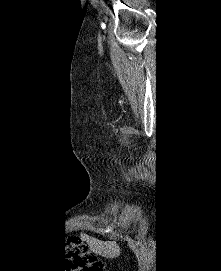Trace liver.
Listing matches in <instances>:
<instances>
[{"label": "liver", "instance_id": "1", "mask_svg": "<svg viewBox=\"0 0 221 271\" xmlns=\"http://www.w3.org/2000/svg\"><path fill=\"white\" fill-rule=\"evenodd\" d=\"M90 249L103 257H118L121 253V247L115 241H101L96 237H87Z\"/></svg>", "mask_w": 221, "mask_h": 271}]
</instances>
